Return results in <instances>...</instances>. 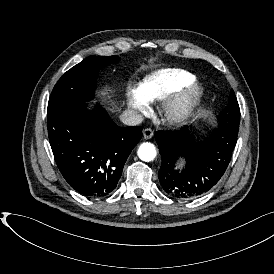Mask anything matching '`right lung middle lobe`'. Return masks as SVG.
I'll return each mask as SVG.
<instances>
[{"label":"right lung middle lobe","mask_w":274,"mask_h":274,"mask_svg":"<svg viewBox=\"0 0 274 274\" xmlns=\"http://www.w3.org/2000/svg\"><path fill=\"white\" fill-rule=\"evenodd\" d=\"M118 61V56H89L68 70L58 80L51 92L47 109L48 115L64 106L85 103L93 99L99 69Z\"/></svg>","instance_id":"obj_1"}]
</instances>
